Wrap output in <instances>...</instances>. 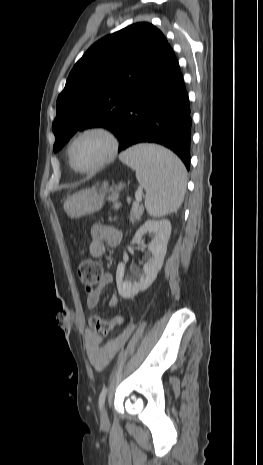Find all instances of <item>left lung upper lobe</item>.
I'll return each mask as SVG.
<instances>
[{"mask_svg":"<svg viewBox=\"0 0 263 465\" xmlns=\"http://www.w3.org/2000/svg\"><path fill=\"white\" fill-rule=\"evenodd\" d=\"M167 45L162 32L147 22L95 42L75 64L58 96L54 152L77 130L105 127L117 134L134 85Z\"/></svg>","mask_w":263,"mask_h":465,"instance_id":"left-lung-upper-lobe-1","label":"left lung upper lobe"}]
</instances>
